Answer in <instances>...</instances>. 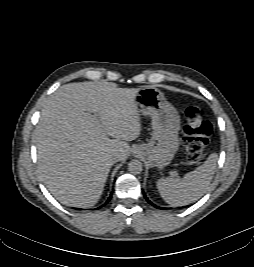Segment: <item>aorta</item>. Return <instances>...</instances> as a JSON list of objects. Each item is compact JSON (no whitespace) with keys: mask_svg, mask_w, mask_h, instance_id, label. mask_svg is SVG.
I'll list each match as a JSON object with an SVG mask.
<instances>
[{"mask_svg":"<svg viewBox=\"0 0 254 267\" xmlns=\"http://www.w3.org/2000/svg\"><path fill=\"white\" fill-rule=\"evenodd\" d=\"M143 170L142 163L139 160H132L128 163V171L131 174L137 175L140 174Z\"/></svg>","mask_w":254,"mask_h":267,"instance_id":"aorta-1","label":"aorta"}]
</instances>
